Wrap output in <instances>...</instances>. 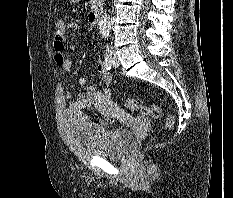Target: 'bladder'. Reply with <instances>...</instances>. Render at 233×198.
Listing matches in <instances>:
<instances>
[{
  "label": "bladder",
  "mask_w": 233,
  "mask_h": 198,
  "mask_svg": "<svg viewBox=\"0 0 233 198\" xmlns=\"http://www.w3.org/2000/svg\"><path fill=\"white\" fill-rule=\"evenodd\" d=\"M66 132L75 151L107 158L121 156L132 139L128 130L102 126L74 111L66 114Z\"/></svg>",
  "instance_id": "31cf9c89"
}]
</instances>
